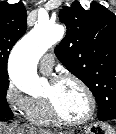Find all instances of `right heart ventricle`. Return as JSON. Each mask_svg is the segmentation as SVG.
Listing matches in <instances>:
<instances>
[{"instance_id": "e07e8e85", "label": "right heart ventricle", "mask_w": 116, "mask_h": 134, "mask_svg": "<svg viewBox=\"0 0 116 134\" xmlns=\"http://www.w3.org/2000/svg\"><path fill=\"white\" fill-rule=\"evenodd\" d=\"M27 116L32 122L42 126L50 125L55 121L43 98H32V108Z\"/></svg>"}]
</instances>
